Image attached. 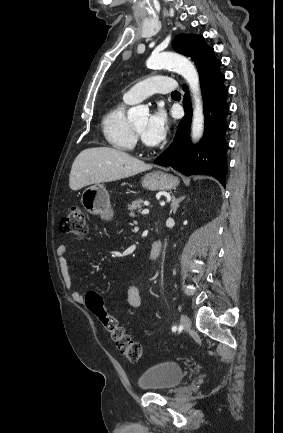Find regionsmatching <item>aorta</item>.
I'll return each mask as SVG.
<instances>
[{"label":"aorta","instance_id":"762f6f07","mask_svg":"<svg viewBox=\"0 0 283 433\" xmlns=\"http://www.w3.org/2000/svg\"><path fill=\"white\" fill-rule=\"evenodd\" d=\"M147 66L150 68H170L187 81L193 97L191 137L193 141H199L204 132L205 117L199 75L195 66L184 56L171 52L152 54L147 60ZM147 114L148 109L144 106L132 107L128 111V119L135 121Z\"/></svg>","mask_w":283,"mask_h":433}]
</instances>
